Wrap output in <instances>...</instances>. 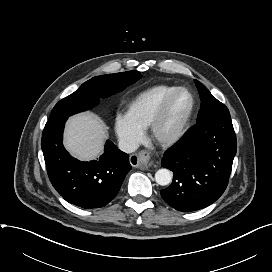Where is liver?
I'll return each mask as SVG.
<instances>
[{"instance_id":"liver-1","label":"liver","mask_w":272,"mask_h":272,"mask_svg":"<svg viewBox=\"0 0 272 272\" xmlns=\"http://www.w3.org/2000/svg\"><path fill=\"white\" fill-rule=\"evenodd\" d=\"M106 126L95 114L86 112L69 118L65 133L66 149L80 160H92L103 151Z\"/></svg>"}]
</instances>
